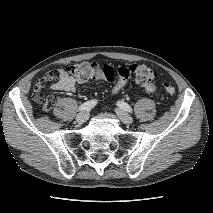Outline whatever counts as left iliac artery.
<instances>
[{
	"mask_svg": "<svg viewBox=\"0 0 213 213\" xmlns=\"http://www.w3.org/2000/svg\"><path fill=\"white\" fill-rule=\"evenodd\" d=\"M117 105L121 108V109H123V110H125V111H127V112H129V113H132L133 111H132V108L130 107V105H128L126 102H124V101H118L117 102Z\"/></svg>",
	"mask_w": 213,
	"mask_h": 213,
	"instance_id": "obj_1",
	"label": "left iliac artery"
}]
</instances>
